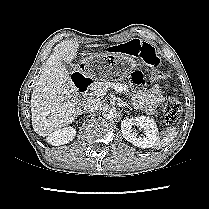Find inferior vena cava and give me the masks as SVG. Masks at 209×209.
<instances>
[{"label":"inferior vena cava","mask_w":209,"mask_h":209,"mask_svg":"<svg viewBox=\"0 0 209 209\" xmlns=\"http://www.w3.org/2000/svg\"><path fill=\"white\" fill-rule=\"evenodd\" d=\"M99 107V101L95 98H87L82 103V109L86 113L94 112Z\"/></svg>","instance_id":"obj_1"}]
</instances>
